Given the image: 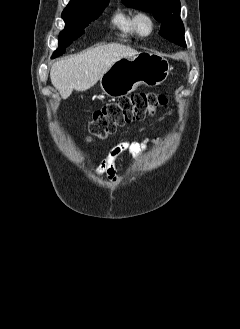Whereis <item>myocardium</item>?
<instances>
[{
    "mask_svg": "<svg viewBox=\"0 0 240 329\" xmlns=\"http://www.w3.org/2000/svg\"><path fill=\"white\" fill-rule=\"evenodd\" d=\"M146 22L148 29L144 31L142 29V23ZM155 30V20L153 16L147 11H140L135 14L134 17V31L137 35L141 37H148L152 35Z\"/></svg>",
    "mask_w": 240,
    "mask_h": 329,
    "instance_id": "f54148a6",
    "label": "myocardium"
}]
</instances>
